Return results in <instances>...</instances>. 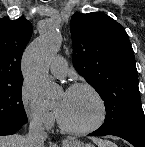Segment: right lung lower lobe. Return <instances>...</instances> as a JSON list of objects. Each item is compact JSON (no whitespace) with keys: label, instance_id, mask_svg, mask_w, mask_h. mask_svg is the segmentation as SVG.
Segmentation results:
<instances>
[{"label":"right lung lower lobe","instance_id":"1","mask_svg":"<svg viewBox=\"0 0 145 147\" xmlns=\"http://www.w3.org/2000/svg\"><path fill=\"white\" fill-rule=\"evenodd\" d=\"M24 125L14 127V128H8V129H0V135H11L20 130Z\"/></svg>","mask_w":145,"mask_h":147}]
</instances>
